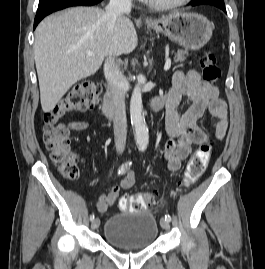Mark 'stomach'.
Here are the masks:
<instances>
[{
    "instance_id": "obj_1",
    "label": "stomach",
    "mask_w": 265,
    "mask_h": 269,
    "mask_svg": "<svg viewBox=\"0 0 265 269\" xmlns=\"http://www.w3.org/2000/svg\"><path fill=\"white\" fill-rule=\"evenodd\" d=\"M148 27L194 51L201 49L210 40L213 32V25L206 17L191 12H173L159 20L151 21Z\"/></svg>"
}]
</instances>
